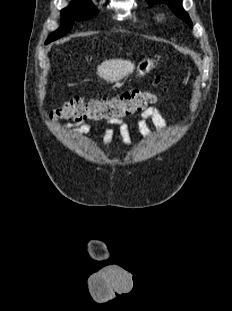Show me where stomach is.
Returning a JSON list of instances; mask_svg holds the SVG:
<instances>
[{
	"label": "stomach",
	"mask_w": 232,
	"mask_h": 311,
	"mask_svg": "<svg viewBox=\"0 0 232 311\" xmlns=\"http://www.w3.org/2000/svg\"><path fill=\"white\" fill-rule=\"evenodd\" d=\"M155 67V61L153 59L142 60L136 68L137 76L143 77L148 74Z\"/></svg>",
	"instance_id": "1"
}]
</instances>
